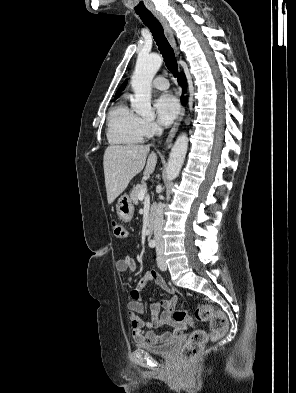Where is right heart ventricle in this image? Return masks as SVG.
Masks as SVG:
<instances>
[{
  "label": "right heart ventricle",
  "mask_w": 296,
  "mask_h": 393,
  "mask_svg": "<svg viewBox=\"0 0 296 393\" xmlns=\"http://www.w3.org/2000/svg\"><path fill=\"white\" fill-rule=\"evenodd\" d=\"M143 120L125 102L112 109L108 118L107 137L110 143L132 146L141 143Z\"/></svg>",
  "instance_id": "obj_1"
}]
</instances>
